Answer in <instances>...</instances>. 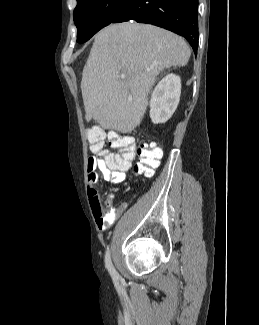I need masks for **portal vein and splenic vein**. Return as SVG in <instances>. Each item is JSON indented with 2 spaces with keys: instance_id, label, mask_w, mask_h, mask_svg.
Returning <instances> with one entry per match:
<instances>
[{
  "instance_id": "18ae733b",
  "label": "portal vein and splenic vein",
  "mask_w": 259,
  "mask_h": 325,
  "mask_svg": "<svg viewBox=\"0 0 259 325\" xmlns=\"http://www.w3.org/2000/svg\"><path fill=\"white\" fill-rule=\"evenodd\" d=\"M126 78V76L125 75H121V79H125Z\"/></svg>"
}]
</instances>
